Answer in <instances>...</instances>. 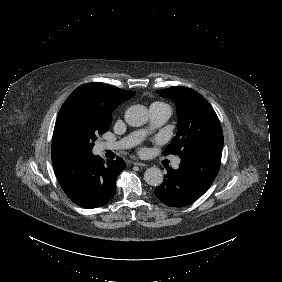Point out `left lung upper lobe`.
Returning <instances> with one entry per match:
<instances>
[{
	"mask_svg": "<svg viewBox=\"0 0 282 282\" xmlns=\"http://www.w3.org/2000/svg\"><path fill=\"white\" fill-rule=\"evenodd\" d=\"M177 105L178 134L164 151L183 158L191 152L210 149L222 151L223 133L219 119L208 101L193 89L173 86L157 91Z\"/></svg>",
	"mask_w": 282,
	"mask_h": 282,
	"instance_id": "1",
	"label": "left lung upper lobe"
}]
</instances>
